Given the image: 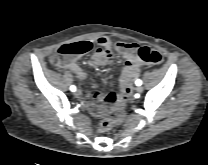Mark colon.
I'll return each instance as SVG.
<instances>
[{"label":"colon","mask_w":208,"mask_h":165,"mask_svg":"<svg viewBox=\"0 0 208 165\" xmlns=\"http://www.w3.org/2000/svg\"><path fill=\"white\" fill-rule=\"evenodd\" d=\"M91 49L92 46L86 41L64 44L56 50L54 56L52 57L51 63L54 66H57L61 62L84 55L88 53ZM138 56L140 61L145 64L160 65L163 63L162 55L158 51L154 49H150L148 47L140 48L138 50ZM129 91L130 90L128 89V87H121V90L119 91L121 94V99L117 103L115 109V117L102 121L97 129L99 133L107 132L110 129H112L114 126H117L124 121L125 119L124 98Z\"/></svg>","instance_id":"5ec220e1"}]
</instances>
